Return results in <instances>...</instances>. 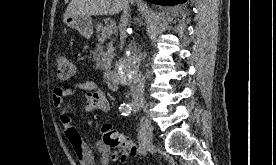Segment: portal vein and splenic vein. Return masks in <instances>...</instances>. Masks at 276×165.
I'll list each match as a JSON object with an SVG mask.
<instances>
[{
    "mask_svg": "<svg viewBox=\"0 0 276 165\" xmlns=\"http://www.w3.org/2000/svg\"><path fill=\"white\" fill-rule=\"evenodd\" d=\"M113 28H114V25H113V24L107 25V26L103 27V29H102V34L105 35V36H110V35H112V33H113Z\"/></svg>",
    "mask_w": 276,
    "mask_h": 165,
    "instance_id": "portal-vein-and-splenic-vein-1",
    "label": "portal vein and splenic vein"
}]
</instances>
